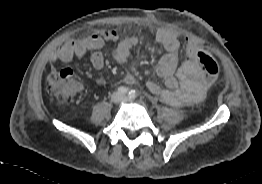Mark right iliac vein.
<instances>
[{
	"mask_svg": "<svg viewBox=\"0 0 262 184\" xmlns=\"http://www.w3.org/2000/svg\"><path fill=\"white\" fill-rule=\"evenodd\" d=\"M112 100H113V102H115V103H119V102L122 100L121 94H120V93H114V94L112 95Z\"/></svg>",
	"mask_w": 262,
	"mask_h": 184,
	"instance_id": "right-iliac-vein-1",
	"label": "right iliac vein"
}]
</instances>
